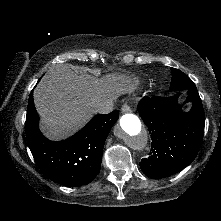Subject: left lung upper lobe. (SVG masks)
I'll use <instances>...</instances> for the list:
<instances>
[{"instance_id":"left-lung-upper-lobe-1","label":"left lung upper lobe","mask_w":221,"mask_h":221,"mask_svg":"<svg viewBox=\"0 0 221 221\" xmlns=\"http://www.w3.org/2000/svg\"><path fill=\"white\" fill-rule=\"evenodd\" d=\"M171 73L170 91L187 90L191 86H195L194 82L182 71L171 68Z\"/></svg>"}]
</instances>
